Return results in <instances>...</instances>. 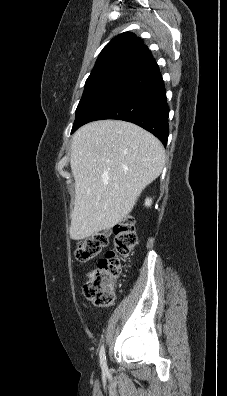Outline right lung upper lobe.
Segmentation results:
<instances>
[{"label":"right lung upper lobe","instance_id":"obj_1","mask_svg":"<svg viewBox=\"0 0 227 396\" xmlns=\"http://www.w3.org/2000/svg\"><path fill=\"white\" fill-rule=\"evenodd\" d=\"M153 59L143 41L131 32L114 37L101 51L91 73L122 68L134 71Z\"/></svg>","mask_w":227,"mask_h":396}]
</instances>
